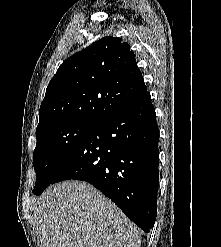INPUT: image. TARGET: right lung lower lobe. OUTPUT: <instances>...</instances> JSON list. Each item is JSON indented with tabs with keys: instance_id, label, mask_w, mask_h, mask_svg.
<instances>
[{
	"instance_id": "1",
	"label": "right lung lower lobe",
	"mask_w": 221,
	"mask_h": 247,
	"mask_svg": "<svg viewBox=\"0 0 221 247\" xmlns=\"http://www.w3.org/2000/svg\"><path fill=\"white\" fill-rule=\"evenodd\" d=\"M158 139L156 113L146 91L101 120L51 184L89 182L149 232L157 215Z\"/></svg>"
}]
</instances>
